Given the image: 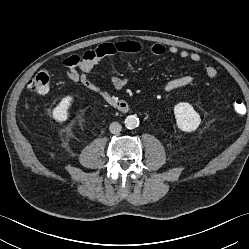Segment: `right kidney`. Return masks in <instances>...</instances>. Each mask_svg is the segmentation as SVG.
Listing matches in <instances>:
<instances>
[{
  "label": "right kidney",
  "mask_w": 249,
  "mask_h": 249,
  "mask_svg": "<svg viewBox=\"0 0 249 249\" xmlns=\"http://www.w3.org/2000/svg\"><path fill=\"white\" fill-rule=\"evenodd\" d=\"M73 103L72 96L62 98L59 104L52 110V118L59 123L65 122L69 117V109Z\"/></svg>",
  "instance_id": "obj_1"
}]
</instances>
